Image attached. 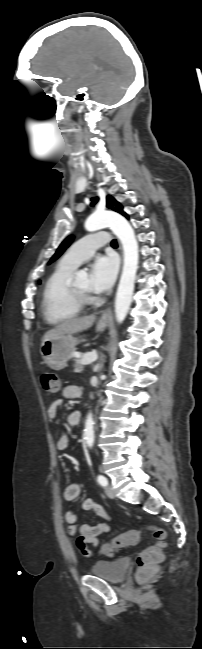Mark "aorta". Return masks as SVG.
Here are the masks:
<instances>
[{"label":"aorta","instance_id":"aorta-1","mask_svg":"<svg viewBox=\"0 0 202 649\" xmlns=\"http://www.w3.org/2000/svg\"><path fill=\"white\" fill-rule=\"evenodd\" d=\"M109 227L119 238L124 253V263L115 299V317L121 324L129 311L136 272L138 269L139 250L134 230L125 217L113 211L95 212L85 222L89 232ZM80 273H83L81 271ZM84 439L89 447L94 444V421L91 413L85 421Z\"/></svg>","mask_w":202,"mask_h":649}]
</instances>
